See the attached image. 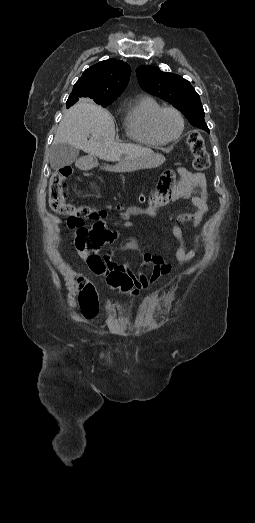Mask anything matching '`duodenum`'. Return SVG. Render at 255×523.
Returning a JSON list of instances; mask_svg holds the SVG:
<instances>
[{"mask_svg": "<svg viewBox=\"0 0 255 523\" xmlns=\"http://www.w3.org/2000/svg\"><path fill=\"white\" fill-rule=\"evenodd\" d=\"M96 162L97 161H96L95 157H93L91 155L84 156V157L79 159L78 167L81 170L90 171V170L95 168Z\"/></svg>", "mask_w": 255, "mask_h": 523, "instance_id": "duodenum-1", "label": "duodenum"}]
</instances>
